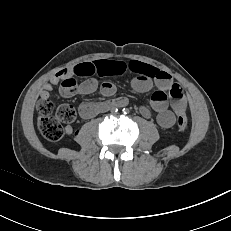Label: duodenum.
<instances>
[{
	"label": "duodenum",
	"mask_w": 231,
	"mask_h": 231,
	"mask_svg": "<svg viewBox=\"0 0 231 231\" xmlns=\"http://www.w3.org/2000/svg\"><path fill=\"white\" fill-rule=\"evenodd\" d=\"M105 106L110 108L112 106H115V102L114 101H109Z\"/></svg>",
	"instance_id": "1"
}]
</instances>
